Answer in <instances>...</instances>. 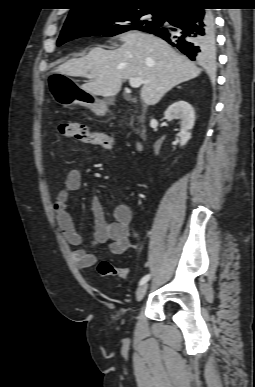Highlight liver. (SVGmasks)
Masks as SVG:
<instances>
[{
	"label": "liver",
	"mask_w": 255,
	"mask_h": 387,
	"mask_svg": "<svg viewBox=\"0 0 255 387\" xmlns=\"http://www.w3.org/2000/svg\"><path fill=\"white\" fill-rule=\"evenodd\" d=\"M115 50L94 47L82 58L66 61L59 73L89 79L81 88L105 98L117 95L124 80L140 77L141 99L157 104L173 87L196 78L201 70L166 41L152 34L132 31L120 35Z\"/></svg>",
	"instance_id": "liver-1"
}]
</instances>
